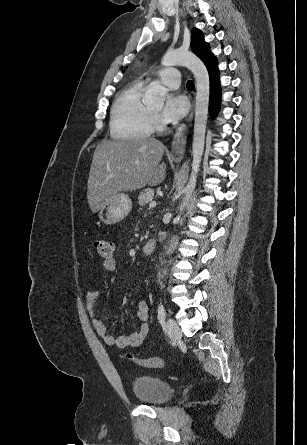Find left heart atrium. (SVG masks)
<instances>
[{
  "label": "left heart atrium",
  "instance_id": "obj_1",
  "mask_svg": "<svg viewBox=\"0 0 307 445\" xmlns=\"http://www.w3.org/2000/svg\"><path fill=\"white\" fill-rule=\"evenodd\" d=\"M188 112L186 98L178 92L169 91L162 109V117L167 122H177Z\"/></svg>",
  "mask_w": 307,
  "mask_h": 445
}]
</instances>
